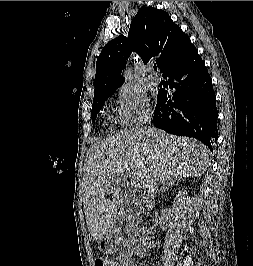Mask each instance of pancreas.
I'll return each mask as SVG.
<instances>
[{
	"instance_id": "pancreas-1",
	"label": "pancreas",
	"mask_w": 253,
	"mask_h": 266,
	"mask_svg": "<svg viewBox=\"0 0 253 266\" xmlns=\"http://www.w3.org/2000/svg\"><path fill=\"white\" fill-rule=\"evenodd\" d=\"M135 220H137V222L140 220V212L137 211L136 207L129 206L127 210V227H134L136 225Z\"/></svg>"
}]
</instances>
